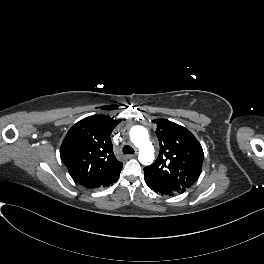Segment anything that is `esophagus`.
<instances>
[{"mask_svg":"<svg viewBox=\"0 0 264 264\" xmlns=\"http://www.w3.org/2000/svg\"><path fill=\"white\" fill-rule=\"evenodd\" d=\"M134 157H136V154H129V155L126 156V158H128V159H131V158H134Z\"/></svg>","mask_w":264,"mask_h":264,"instance_id":"obj_1","label":"esophagus"}]
</instances>
